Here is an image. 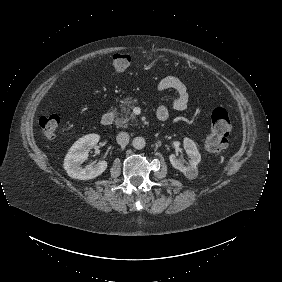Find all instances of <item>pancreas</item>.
<instances>
[{"instance_id": "cf45deb5", "label": "pancreas", "mask_w": 282, "mask_h": 282, "mask_svg": "<svg viewBox=\"0 0 282 282\" xmlns=\"http://www.w3.org/2000/svg\"><path fill=\"white\" fill-rule=\"evenodd\" d=\"M138 105L137 100H124L122 105H120L119 115L120 117L115 119V124L119 128H125L129 124H134L137 122L135 115H133L130 110L133 109L134 106Z\"/></svg>"}]
</instances>
